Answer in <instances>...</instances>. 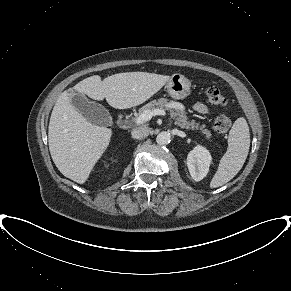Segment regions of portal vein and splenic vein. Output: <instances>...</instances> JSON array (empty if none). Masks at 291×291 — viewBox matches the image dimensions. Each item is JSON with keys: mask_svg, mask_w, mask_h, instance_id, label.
I'll use <instances>...</instances> for the list:
<instances>
[{"mask_svg": "<svg viewBox=\"0 0 291 291\" xmlns=\"http://www.w3.org/2000/svg\"><path fill=\"white\" fill-rule=\"evenodd\" d=\"M165 116L166 112L164 110L160 109H154L152 111L146 110L143 113H141L135 120L136 124H142L144 122L149 121L153 116Z\"/></svg>", "mask_w": 291, "mask_h": 291, "instance_id": "obj_1", "label": "portal vein and splenic vein"}]
</instances>
